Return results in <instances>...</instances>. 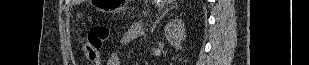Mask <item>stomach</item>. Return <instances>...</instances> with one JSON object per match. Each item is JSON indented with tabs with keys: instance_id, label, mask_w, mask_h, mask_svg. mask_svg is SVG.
<instances>
[{
	"instance_id": "1",
	"label": "stomach",
	"mask_w": 309,
	"mask_h": 65,
	"mask_svg": "<svg viewBox=\"0 0 309 65\" xmlns=\"http://www.w3.org/2000/svg\"><path fill=\"white\" fill-rule=\"evenodd\" d=\"M97 9L104 13H116L124 9L127 0H99Z\"/></svg>"
}]
</instances>
